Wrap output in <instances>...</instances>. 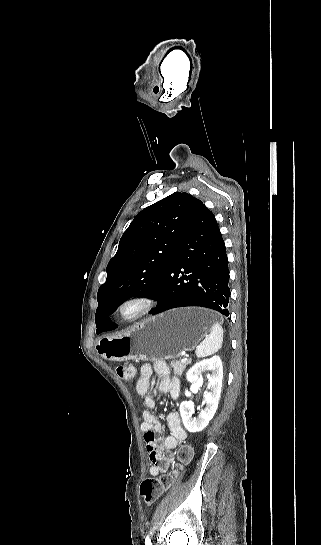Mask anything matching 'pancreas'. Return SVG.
<instances>
[{
	"mask_svg": "<svg viewBox=\"0 0 321 545\" xmlns=\"http://www.w3.org/2000/svg\"><path fill=\"white\" fill-rule=\"evenodd\" d=\"M190 363H192V359H188V361H171L170 367H172L174 375H179V377H181L187 365H190Z\"/></svg>",
	"mask_w": 321,
	"mask_h": 545,
	"instance_id": "pancreas-1",
	"label": "pancreas"
}]
</instances>
